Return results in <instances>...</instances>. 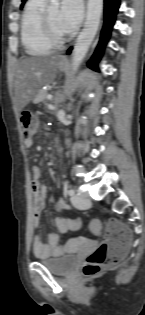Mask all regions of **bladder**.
<instances>
[{
  "instance_id": "31cf9c89",
  "label": "bladder",
  "mask_w": 145,
  "mask_h": 315,
  "mask_svg": "<svg viewBox=\"0 0 145 315\" xmlns=\"http://www.w3.org/2000/svg\"><path fill=\"white\" fill-rule=\"evenodd\" d=\"M38 261L45 265L52 273L65 275L77 265L78 257L63 255L57 258H38Z\"/></svg>"
}]
</instances>
